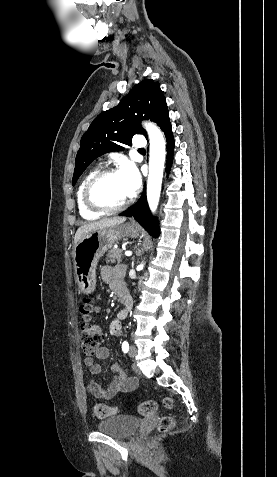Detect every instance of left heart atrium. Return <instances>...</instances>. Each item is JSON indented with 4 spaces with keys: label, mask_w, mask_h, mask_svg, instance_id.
Segmentation results:
<instances>
[{
    "label": "left heart atrium",
    "mask_w": 277,
    "mask_h": 477,
    "mask_svg": "<svg viewBox=\"0 0 277 477\" xmlns=\"http://www.w3.org/2000/svg\"><path fill=\"white\" fill-rule=\"evenodd\" d=\"M127 197L134 196L140 185L141 177L138 169L132 162H125L118 171Z\"/></svg>",
    "instance_id": "obj_1"
}]
</instances>
